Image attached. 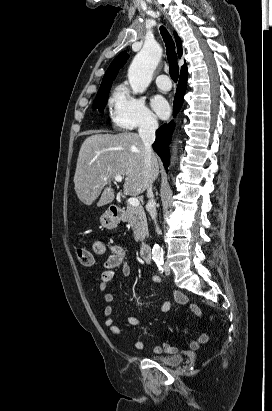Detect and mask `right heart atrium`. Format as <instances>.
<instances>
[{"instance_id":"obj_1","label":"right heart atrium","mask_w":272,"mask_h":411,"mask_svg":"<svg viewBox=\"0 0 272 411\" xmlns=\"http://www.w3.org/2000/svg\"><path fill=\"white\" fill-rule=\"evenodd\" d=\"M109 117L114 127L123 130L153 129L157 125L154 114L143 99L133 94L126 84L118 85L108 100Z\"/></svg>"}]
</instances>
